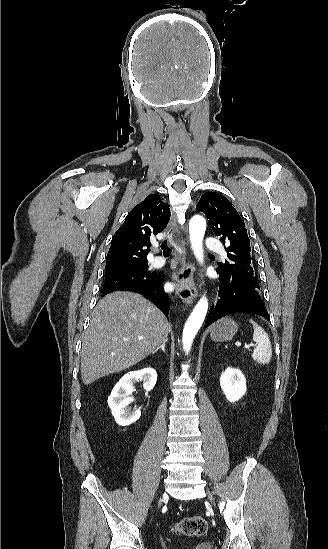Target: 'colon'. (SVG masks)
<instances>
[{
    "label": "colon",
    "mask_w": 328,
    "mask_h": 549,
    "mask_svg": "<svg viewBox=\"0 0 328 549\" xmlns=\"http://www.w3.org/2000/svg\"><path fill=\"white\" fill-rule=\"evenodd\" d=\"M207 529L208 523L206 519L200 515L185 517L174 527L176 533L188 537L202 536L206 533Z\"/></svg>",
    "instance_id": "colon-1"
}]
</instances>
